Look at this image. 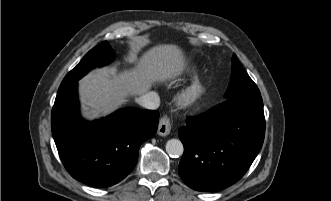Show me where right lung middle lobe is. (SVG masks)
Listing matches in <instances>:
<instances>
[{"mask_svg": "<svg viewBox=\"0 0 331 201\" xmlns=\"http://www.w3.org/2000/svg\"><path fill=\"white\" fill-rule=\"evenodd\" d=\"M113 58L114 51L107 41L94 47L83 57L80 63L65 76L59 87V90L77 82L92 68L96 66L107 65L112 61Z\"/></svg>", "mask_w": 331, "mask_h": 201, "instance_id": "dd1d6c3e", "label": "right lung middle lobe"}]
</instances>
